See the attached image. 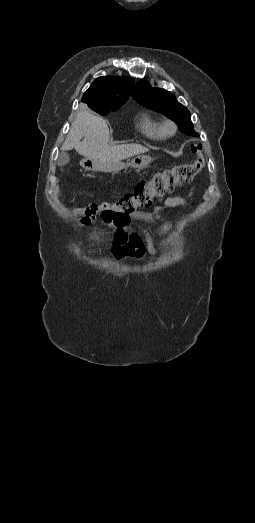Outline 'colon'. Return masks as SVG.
<instances>
[{
	"label": "colon",
	"instance_id": "obj_1",
	"mask_svg": "<svg viewBox=\"0 0 255 523\" xmlns=\"http://www.w3.org/2000/svg\"><path fill=\"white\" fill-rule=\"evenodd\" d=\"M191 150L197 159L189 164H182L154 174L149 180L139 182L132 194L121 197L115 202L92 203L78 212L85 222H91L97 216L115 226L124 224L129 215L138 209L152 207L155 199L164 198L175 187L192 181L203 169L204 160L200 144H193Z\"/></svg>",
	"mask_w": 255,
	"mask_h": 523
}]
</instances>
